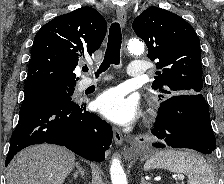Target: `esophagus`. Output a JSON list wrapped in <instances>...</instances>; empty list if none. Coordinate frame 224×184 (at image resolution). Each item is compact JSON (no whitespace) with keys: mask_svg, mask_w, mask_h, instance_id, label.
Wrapping results in <instances>:
<instances>
[{"mask_svg":"<svg viewBox=\"0 0 224 184\" xmlns=\"http://www.w3.org/2000/svg\"><path fill=\"white\" fill-rule=\"evenodd\" d=\"M116 14H117V19H118L120 25L122 27H124L126 24V20H127V12H126L125 7H117ZM113 136H114V141H115L116 145H121L123 142V134L116 127H113Z\"/></svg>","mask_w":224,"mask_h":184,"instance_id":"1","label":"esophagus"}]
</instances>
